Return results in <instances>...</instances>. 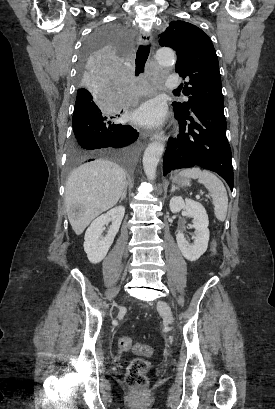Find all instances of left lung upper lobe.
<instances>
[{
    "label": "left lung upper lobe",
    "instance_id": "obj_1",
    "mask_svg": "<svg viewBox=\"0 0 275 409\" xmlns=\"http://www.w3.org/2000/svg\"><path fill=\"white\" fill-rule=\"evenodd\" d=\"M159 43L176 51V72L187 81L183 94L189 101L173 102L174 112L185 116L197 108L223 111L219 64L210 38L193 24L172 21Z\"/></svg>",
    "mask_w": 275,
    "mask_h": 409
}]
</instances>
